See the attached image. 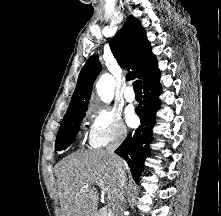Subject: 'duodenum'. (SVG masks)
<instances>
[{
    "label": "duodenum",
    "mask_w": 221,
    "mask_h": 216,
    "mask_svg": "<svg viewBox=\"0 0 221 216\" xmlns=\"http://www.w3.org/2000/svg\"><path fill=\"white\" fill-rule=\"evenodd\" d=\"M92 216H101V212L100 211H95Z\"/></svg>",
    "instance_id": "410a0bca"
}]
</instances>
